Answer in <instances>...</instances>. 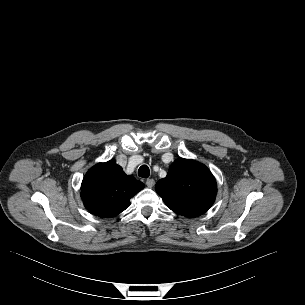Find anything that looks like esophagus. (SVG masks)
<instances>
[{
    "mask_svg": "<svg viewBox=\"0 0 305 305\" xmlns=\"http://www.w3.org/2000/svg\"><path fill=\"white\" fill-rule=\"evenodd\" d=\"M146 185H147V187L152 188L155 185V180L152 179V178L147 179L146 180Z\"/></svg>",
    "mask_w": 305,
    "mask_h": 305,
    "instance_id": "esophagus-1",
    "label": "esophagus"
}]
</instances>
